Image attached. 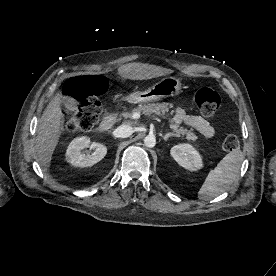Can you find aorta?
<instances>
[{"instance_id":"aorta-1","label":"aorta","mask_w":276,"mask_h":276,"mask_svg":"<svg viewBox=\"0 0 276 276\" xmlns=\"http://www.w3.org/2000/svg\"><path fill=\"white\" fill-rule=\"evenodd\" d=\"M144 144L149 147L152 148L156 145V138L154 135H148L145 137L144 139Z\"/></svg>"}]
</instances>
